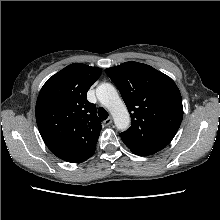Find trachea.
Segmentation results:
<instances>
[{"label":"trachea","instance_id":"3493384b","mask_svg":"<svg viewBox=\"0 0 220 220\" xmlns=\"http://www.w3.org/2000/svg\"><path fill=\"white\" fill-rule=\"evenodd\" d=\"M98 116L102 119L105 120L108 117V112L104 108H99L98 109Z\"/></svg>","mask_w":220,"mask_h":220}]
</instances>
